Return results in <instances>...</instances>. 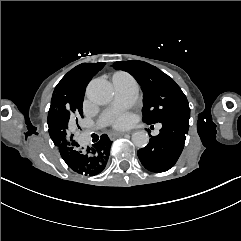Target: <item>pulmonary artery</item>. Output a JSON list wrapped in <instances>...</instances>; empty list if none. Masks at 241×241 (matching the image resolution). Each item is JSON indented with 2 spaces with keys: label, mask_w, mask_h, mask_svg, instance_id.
I'll return each instance as SVG.
<instances>
[{
  "label": "pulmonary artery",
  "mask_w": 241,
  "mask_h": 241,
  "mask_svg": "<svg viewBox=\"0 0 241 241\" xmlns=\"http://www.w3.org/2000/svg\"><path fill=\"white\" fill-rule=\"evenodd\" d=\"M134 80L127 73H116L112 77L114 88V98L107 104L104 112L98 117L100 125L105 124L109 118L118 117L125 109L129 108L133 102L135 93Z\"/></svg>",
  "instance_id": "obj_1"
}]
</instances>
